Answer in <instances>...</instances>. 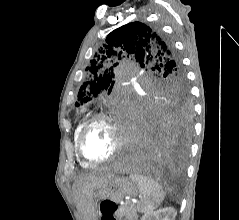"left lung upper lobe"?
Wrapping results in <instances>:
<instances>
[{"label":"left lung upper lobe","mask_w":239,"mask_h":220,"mask_svg":"<svg viewBox=\"0 0 239 220\" xmlns=\"http://www.w3.org/2000/svg\"><path fill=\"white\" fill-rule=\"evenodd\" d=\"M131 57L141 68L153 71L158 81L143 90L138 106L153 112H177L189 120L192 103L189 98L185 72L171 42L160 31L141 22H132L112 31L106 43L91 58L86 67L87 76L79 89L75 106L79 107L98 94L116 86L118 60ZM121 99L111 107L123 108Z\"/></svg>","instance_id":"left-lung-upper-lobe-1"}]
</instances>
